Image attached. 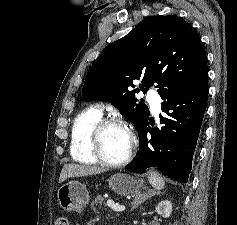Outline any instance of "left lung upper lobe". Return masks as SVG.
Segmentation results:
<instances>
[{
  "label": "left lung upper lobe",
  "mask_w": 237,
  "mask_h": 225,
  "mask_svg": "<svg viewBox=\"0 0 237 225\" xmlns=\"http://www.w3.org/2000/svg\"><path fill=\"white\" fill-rule=\"evenodd\" d=\"M206 53L194 28L176 15L152 16L109 44L89 68L82 95L110 101L137 130L149 117L135 93L154 83L159 93L196 86L207 77ZM141 79L139 88L133 84Z\"/></svg>",
  "instance_id": "5c2ea615"
}]
</instances>
